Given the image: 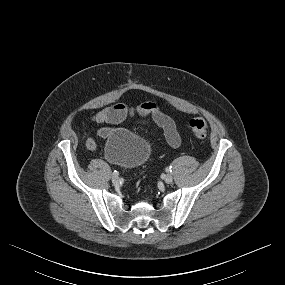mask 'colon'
I'll list each match as a JSON object with an SVG mask.
<instances>
[{
	"instance_id": "5ec220e1",
	"label": "colon",
	"mask_w": 285,
	"mask_h": 285,
	"mask_svg": "<svg viewBox=\"0 0 285 285\" xmlns=\"http://www.w3.org/2000/svg\"><path fill=\"white\" fill-rule=\"evenodd\" d=\"M190 128L194 134V136L202 140L207 135L208 125L204 118L196 117L190 120L189 122Z\"/></svg>"
}]
</instances>
